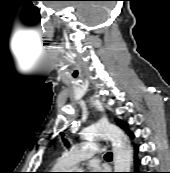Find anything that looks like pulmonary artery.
<instances>
[{
  "mask_svg": "<svg viewBox=\"0 0 170 173\" xmlns=\"http://www.w3.org/2000/svg\"><path fill=\"white\" fill-rule=\"evenodd\" d=\"M105 151V147L91 141H83L68 150L62 157L66 161V166L70 167Z\"/></svg>",
  "mask_w": 170,
  "mask_h": 173,
  "instance_id": "pulmonary-artery-1",
  "label": "pulmonary artery"
}]
</instances>
